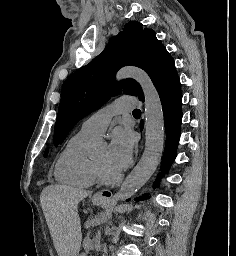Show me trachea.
<instances>
[{
  "mask_svg": "<svg viewBox=\"0 0 236 256\" xmlns=\"http://www.w3.org/2000/svg\"><path fill=\"white\" fill-rule=\"evenodd\" d=\"M138 113L141 114V110H139V109L136 108V109L133 111V114H138Z\"/></svg>",
  "mask_w": 236,
  "mask_h": 256,
  "instance_id": "obj_1",
  "label": "trachea"
}]
</instances>
